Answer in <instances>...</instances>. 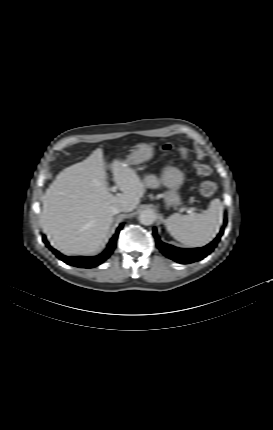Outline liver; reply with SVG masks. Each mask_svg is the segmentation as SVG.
I'll return each instance as SVG.
<instances>
[{
	"label": "liver",
	"mask_w": 273,
	"mask_h": 430,
	"mask_svg": "<svg viewBox=\"0 0 273 430\" xmlns=\"http://www.w3.org/2000/svg\"><path fill=\"white\" fill-rule=\"evenodd\" d=\"M114 181L122 193L107 187L103 151L96 149L83 160L61 171L47 189L41 224L50 244L65 255H92L104 245L113 222L111 206L133 211L145 193L134 169L121 160L112 164Z\"/></svg>",
	"instance_id": "liver-1"
}]
</instances>
